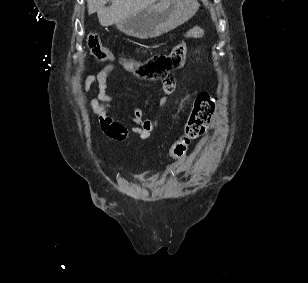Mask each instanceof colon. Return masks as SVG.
Returning <instances> with one entry per match:
<instances>
[{"label": "colon", "instance_id": "colon-1", "mask_svg": "<svg viewBox=\"0 0 308 283\" xmlns=\"http://www.w3.org/2000/svg\"><path fill=\"white\" fill-rule=\"evenodd\" d=\"M205 35L202 27H193L185 33L182 41L176 44L169 52L157 54L145 61H132L120 58V65L146 80H161L163 85L174 86L172 72L182 66L186 56V40L199 39ZM86 44L92 54L100 61L114 60L112 51L103 45L96 33H88ZM215 109V100L210 93H200L193 104L190 115L183 127L182 133L170 147L168 158L172 163L180 161L185 155L190 143L199 138L206 131Z\"/></svg>", "mask_w": 308, "mask_h": 283}]
</instances>
